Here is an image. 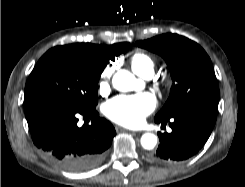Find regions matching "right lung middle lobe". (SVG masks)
I'll use <instances>...</instances> for the list:
<instances>
[{
	"instance_id": "right-lung-middle-lobe-1",
	"label": "right lung middle lobe",
	"mask_w": 245,
	"mask_h": 187,
	"mask_svg": "<svg viewBox=\"0 0 245 187\" xmlns=\"http://www.w3.org/2000/svg\"><path fill=\"white\" fill-rule=\"evenodd\" d=\"M124 50L85 43L50 49L40 58L26 82L25 113L53 104L95 110L100 75L109 60Z\"/></svg>"
}]
</instances>
